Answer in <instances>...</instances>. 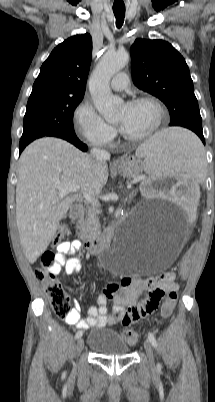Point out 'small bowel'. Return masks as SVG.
I'll use <instances>...</instances> for the list:
<instances>
[{
  "label": "small bowel",
  "mask_w": 215,
  "mask_h": 402,
  "mask_svg": "<svg viewBox=\"0 0 215 402\" xmlns=\"http://www.w3.org/2000/svg\"><path fill=\"white\" fill-rule=\"evenodd\" d=\"M81 249L79 241H65L57 246L56 261L50 268L55 275L63 272L73 275L80 272L81 260L75 255ZM67 255L72 256L66 258ZM178 285L174 282V274L167 277L128 278L124 277L120 282L108 284L97 299L98 306H91L88 315L82 317L81 305L78 300L73 301V307L64 316L66 323L75 325L77 328L87 330L91 327H106L121 323L129 326L150 313L145 308L154 300L157 291L166 292L170 289L177 290ZM113 301V312L108 315L107 303Z\"/></svg>",
  "instance_id": "obj_1"
}]
</instances>
